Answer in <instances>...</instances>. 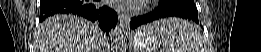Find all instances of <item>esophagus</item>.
I'll return each instance as SVG.
<instances>
[{"mask_svg":"<svg viewBox=\"0 0 261 52\" xmlns=\"http://www.w3.org/2000/svg\"><path fill=\"white\" fill-rule=\"evenodd\" d=\"M130 16L126 13H122L119 18V25L122 28H127L129 25Z\"/></svg>","mask_w":261,"mask_h":52,"instance_id":"obj_1","label":"esophagus"}]
</instances>
